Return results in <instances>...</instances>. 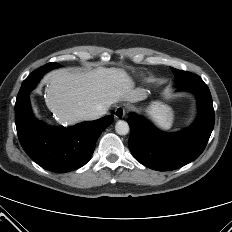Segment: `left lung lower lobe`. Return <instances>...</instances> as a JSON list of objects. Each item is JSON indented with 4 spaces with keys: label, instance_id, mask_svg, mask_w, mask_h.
Masks as SVG:
<instances>
[{
    "label": "left lung lower lobe",
    "instance_id": "left-lung-lower-lobe-1",
    "mask_svg": "<svg viewBox=\"0 0 232 232\" xmlns=\"http://www.w3.org/2000/svg\"><path fill=\"white\" fill-rule=\"evenodd\" d=\"M197 97L198 116L187 129L168 134L157 130L146 119L129 114V149L141 164L157 170L178 169L195 160L204 150L214 127L212 97L200 77L178 87Z\"/></svg>",
    "mask_w": 232,
    "mask_h": 232
}]
</instances>
